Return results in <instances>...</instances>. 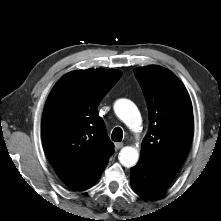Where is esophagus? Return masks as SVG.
<instances>
[{
    "mask_svg": "<svg viewBox=\"0 0 221 221\" xmlns=\"http://www.w3.org/2000/svg\"><path fill=\"white\" fill-rule=\"evenodd\" d=\"M123 146H124L123 143H120V142L115 143V150H119V149H121Z\"/></svg>",
    "mask_w": 221,
    "mask_h": 221,
    "instance_id": "34e87169",
    "label": "esophagus"
}]
</instances>
